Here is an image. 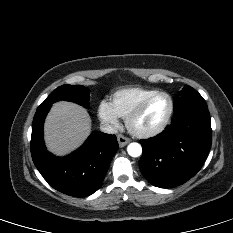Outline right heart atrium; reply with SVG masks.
<instances>
[{"instance_id":"d8ad5b80","label":"right heart atrium","mask_w":233,"mask_h":233,"mask_svg":"<svg viewBox=\"0 0 233 233\" xmlns=\"http://www.w3.org/2000/svg\"><path fill=\"white\" fill-rule=\"evenodd\" d=\"M99 118L111 129L119 126V116L115 113L110 103L102 101L98 107Z\"/></svg>"}]
</instances>
